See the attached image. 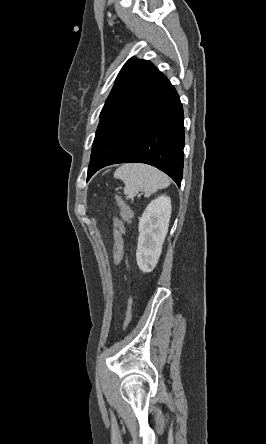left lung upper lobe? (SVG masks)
Here are the masks:
<instances>
[{"mask_svg":"<svg viewBox=\"0 0 266 444\" xmlns=\"http://www.w3.org/2000/svg\"><path fill=\"white\" fill-rule=\"evenodd\" d=\"M166 77L149 61L129 59L119 72L100 114V123L144 95ZM97 128V129H98Z\"/></svg>","mask_w":266,"mask_h":444,"instance_id":"left-lung-upper-lobe-1","label":"left lung upper lobe"}]
</instances>
